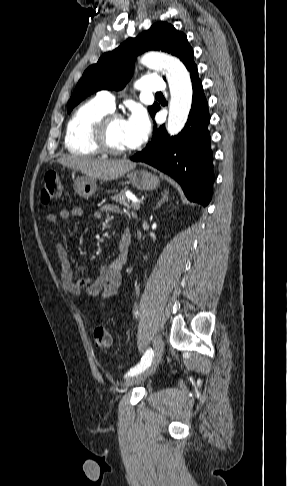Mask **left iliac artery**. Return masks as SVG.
<instances>
[{"instance_id":"44dca946","label":"left iliac artery","mask_w":287,"mask_h":486,"mask_svg":"<svg viewBox=\"0 0 287 486\" xmlns=\"http://www.w3.org/2000/svg\"><path fill=\"white\" fill-rule=\"evenodd\" d=\"M138 314V311H136L135 315ZM153 357V350L151 348L147 349L145 354L143 355L141 361L133 368H131L128 373L126 374L127 376H133L136 375L140 372H142L144 369H146L150 364L151 360Z\"/></svg>"}]
</instances>
